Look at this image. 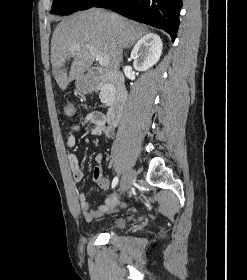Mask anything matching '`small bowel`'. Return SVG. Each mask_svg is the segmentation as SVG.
<instances>
[{"label": "small bowel", "mask_w": 247, "mask_h": 280, "mask_svg": "<svg viewBox=\"0 0 247 280\" xmlns=\"http://www.w3.org/2000/svg\"><path fill=\"white\" fill-rule=\"evenodd\" d=\"M88 126L90 127V133L92 135H105L106 137H112L114 135V129L107 123L106 116L101 112L94 111L88 113L87 115L81 116L72 126V130L69 133L66 141V144L69 148H74L76 145V133L82 128ZM95 160L97 162V166H95L93 170V179L102 190H108L109 180L103 175V169L101 167L102 155L98 154ZM69 165L73 180L75 182H81L84 178V173L76 154L71 153L69 155ZM77 199L86 221H92L104 215L108 211L115 209L121 204L116 194L109 195L96 208L90 207L87 197L84 193H79Z\"/></svg>", "instance_id": "small-bowel-1"}]
</instances>
